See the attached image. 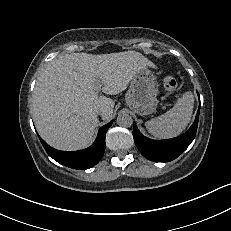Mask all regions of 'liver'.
<instances>
[{
  "mask_svg": "<svg viewBox=\"0 0 231 231\" xmlns=\"http://www.w3.org/2000/svg\"><path fill=\"white\" fill-rule=\"evenodd\" d=\"M154 64L136 51L59 55L40 73L32 96V114L40 136L59 150H79L94 139L97 110L108 120L114 101L104 95L124 91L133 76Z\"/></svg>",
  "mask_w": 231,
  "mask_h": 231,
  "instance_id": "liver-1",
  "label": "liver"
}]
</instances>
